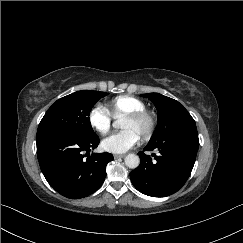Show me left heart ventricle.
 I'll return each mask as SVG.
<instances>
[{
    "instance_id": "left-heart-ventricle-1",
    "label": "left heart ventricle",
    "mask_w": 243,
    "mask_h": 243,
    "mask_svg": "<svg viewBox=\"0 0 243 243\" xmlns=\"http://www.w3.org/2000/svg\"><path fill=\"white\" fill-rule=\"evenodd\" d=\"M121 128L123 130H132L139 138H141L147 129V123L144 121L134 122L128 119H123Z\"/></svg>"
}]
</instances>
